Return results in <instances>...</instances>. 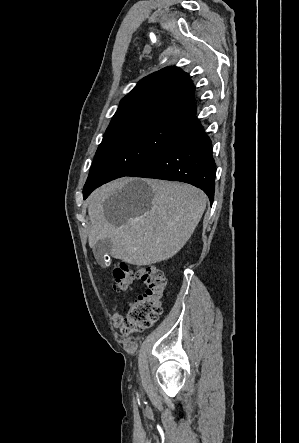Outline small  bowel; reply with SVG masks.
Returning <instances> with one entry per match:
<instances>
[{
	"mask_svg": "<svg viewBox=\"0 0 299 443\" xmlns=\"http://www.w3.org/2000/svg\"><path fill=\"white\" fill-rule=\"evenodd\" d=\"M122 316L120 314H114L113 315V323L115 326H120L122 324Z\"/></svg>",
	"mask_w": 299,
	"mask_h": 443,
	"instance_id": "obj_1",
	"label": "small bowel"
}]
</instances>
